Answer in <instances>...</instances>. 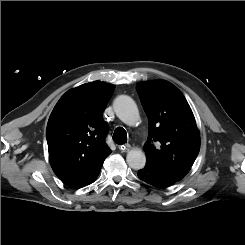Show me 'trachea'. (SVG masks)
<instances>
[{"label": "trachea", "mask_w": 245, "mask_h": 245, "mask_svg": "<svg viewBox=\"0 0 245 245\" xmlns=\"http://www.w3.org/2000/svg\"><path fill=\"white\" fill-rule=\"evenodd\" d=\"M112 138L113 141L118 145L125 144L127 142V132L125 131L124 128L117 127L114 131Z\"/></svg>", "instance_id": "obj_1"}]
</instances>
